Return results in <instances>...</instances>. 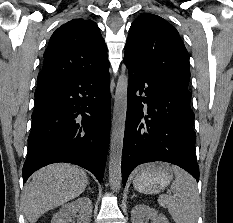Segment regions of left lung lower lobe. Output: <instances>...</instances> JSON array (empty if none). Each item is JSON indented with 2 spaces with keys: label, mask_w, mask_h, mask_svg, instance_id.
I'll use <instances>...</instances> for the list:
<instances>
[{
  "label": "left lung lower lobe",
  "mask_w": 233,
  "mask_h": 223,
  "mask_svg": "<svg viewBox=\"0 0 233 223\" xmlns=\"http://www.w3.org/2000/svg\"><path fill=\"white\" fill-rule=\"evenodd\" d=\"M124 63L129 70V82L123 186L137 165L152 161L178 165L199 181L190 92L152 76L127 55Z\"/></svg>",
  "instance_id": "0a47b994"
}]
</instances>
